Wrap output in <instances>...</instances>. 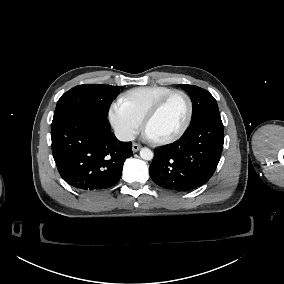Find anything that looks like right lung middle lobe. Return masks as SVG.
Here are the masks:
<instances>
[{
	"instance_id": "dd1d6c3e",
	"label": "right lung middle lobe",
	"mask_w": 284,
	"mask_h": 284,
	"mask_svg": "<svg viewBox=\"0 0 284 284\" xmlns=\"http://www.w3.org/2000/svg\"><path fill=\"white\" fill-rule=\"evenodd\" d=\"M119 86L84 84L64 93L57 102L53 121L75 110H91L107 116Z\"/></svg>"
}]
</instances>
